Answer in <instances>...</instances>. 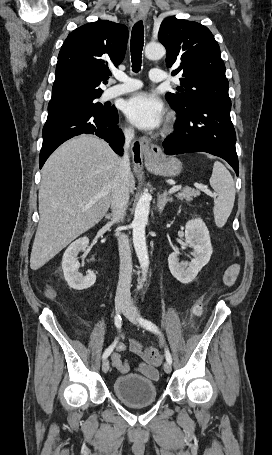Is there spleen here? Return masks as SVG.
Listing matches in <instances>:
<instances>
[{"label":"spleen","instance_id":"3e777b00","mask_svg":"<svg viewBox=\"0 0 272 455\" xmlns=\"http://www.w3.org/2000/svg\"><path fill=\"white\" fill-rule=\"evenodd\" d=\"M210 185L218 195L214 201L213 213L216 226L221 228L227 222L234 206L235 184L229 171L219 161L213 165Z\"/></svg>","mask_w":272,"mask_h":455}]
</instances>
